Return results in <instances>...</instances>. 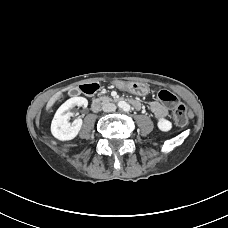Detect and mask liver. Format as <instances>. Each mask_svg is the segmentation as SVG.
Masks as SVG:
<instances>
[{
    "label": "liver",
    "mask_w": 228,
    "mask_h": 228,
    "mask_svg": "<svg viewBox=\"0 0 228 228\" xmlns=\"http://www.w3.org/2000/svg\"><path fill=\"white\" fill-rule=\"evenodd\" d=\"M59 95H60V93H57L51 98V100L48 102L47 109H49L51 106H53L55 101L58 99Z\"/></svg>",
    "instance_id": "obj_1"
}]
</instances>
